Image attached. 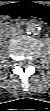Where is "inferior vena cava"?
<instances>
[{"instance_id":"obj_1","label":"inferior vena cava","mask_w":50,"mask_h":111,"mask_svg":"<svg viewBox=\"0 0 50 111\" xmlns=\"http://www.w3.org/2000/svg\"><path fill=\"white\" fill-rule=\"evenodd\" d=\"M23 29L21 28H14L11 32L12 36H17V35H21L23 33Z\"/></svg>"}]
</instances>
